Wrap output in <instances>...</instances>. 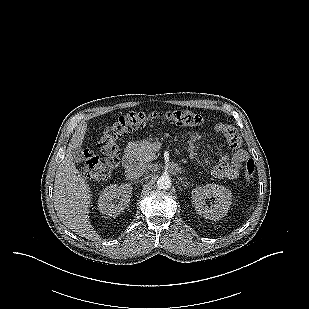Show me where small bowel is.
Returning <instances> with one entry per match:
<instances>
[{
	"label": "small bowel",
	"mask_w": 309,
	"mask_h": 309,
	"mask_svg": "<svg viewBox=\"0 0 309 309\" xmlns=\"http://www.w3.org/2000/svg\"><path fill=\"white\" fill-rule=\"evenodd\" d=\"M215 132L222 135L233 148H236L231 157L223 155L213 169V175L217 178L235 179L239 176L243 164L249 158L246 150L238 148L240 146V138L236 130L226 124H218L215 127ZM199 138L198 134L192 135V141Z\"/></svg>",
	"instance_id": "small-bowel-1"
}]
</instances>
